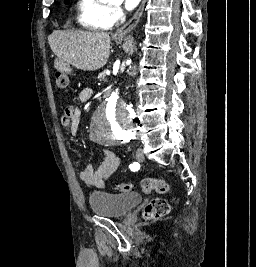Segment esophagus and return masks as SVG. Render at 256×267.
I'll use <instances>...</instances> for the list:
<instances>
[{
  "label": "esophagus",
  "mask_w": 256,
  "mask_h": 267,
  "mask_svg": "<svg viewBox=\"0 0 256 267\" xmlns=\"http://www.w3.org/2000/svg\"><path fill=\"white\" fill-rule=\"evenodd\" d=\"M145 3H146V0H142L139 8L134 13L133 17L130 18V20L127 23H125L123 27L119 28V30L115 33L116 37H121L123 35H126L127 33L131 32L136 27L143 13Z\"/></svg>",
  "instance_id": "obj_1"
}]
</instances>
